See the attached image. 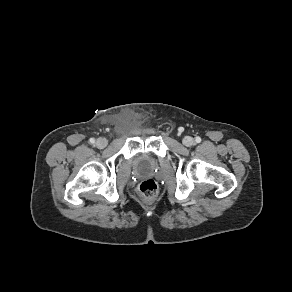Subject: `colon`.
<instances>
[{"mask_svg":"<svg viewBox=\"0 0 292 292\" xmlns=\"http://www.w3.org/2000/svg\"><path fill=\"white\" fill-rule=\"evenodd\" d=\"M139 193L146 201H152L158 194V185L153 179H146L139 185Z\"/></svg>","mask_w":292,"mask_h":292,"instance_id":"obj_1","label":"colon"}]
</instances>
